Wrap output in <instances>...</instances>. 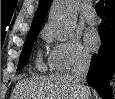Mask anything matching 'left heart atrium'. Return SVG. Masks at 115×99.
Segmentation results:
<instances>
[{"mask_svg":"<svg viewBox=\"0 0 115 99\" xmlns=\"http://www.w3.org/2000/svg\"><path fill=\"white\" fill-rule=\"evenodd\" d=\"M85 43L90 50H95L99 44V36L94 29H89L85 33Z\"/></svg>","mask_w":115,"mask_h":99,"instance_id":"left-heart-atrium-1","label":"left heart atrium"}]
</instances>
